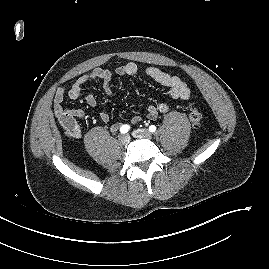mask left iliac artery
Wrapping results in <instances>:
<instances>
[{
	"label": "left iliac artery",
	"mask_w": 269,
	"mask_h": 269,
	"mask_svg": "<svg viewBox=\"0 0 269 269\" xmlns=\"http://www.w3.org/2000/svg\"><path fill=\"white\" fill-rule=\"evenodd\" d=\"M149 131H150V132H155V131H156V126H155V125H151V126L149 127Z\"/></svg>",
	"instance_id": "1"
}]
</instances>
